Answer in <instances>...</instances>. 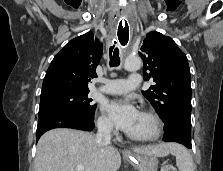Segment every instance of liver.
<instances>
[{"instance_id":"1","label":"liver","mask_w":223,"mask_h":171,"mask_svg":"<svg viewBox=\"0 0 223 171\" xmlns=\"http://www.w3.org/2000/svg\"><path fill=\"white\" fill-rule=\"evenodd\" d=\"M174 144L161 143L134 148L140 154L165 157ZM121 165L119 151L113 146H99L88 132L57 128L46 132L38 141L34 171H117Z\"/></svg>"}]
</instances>
